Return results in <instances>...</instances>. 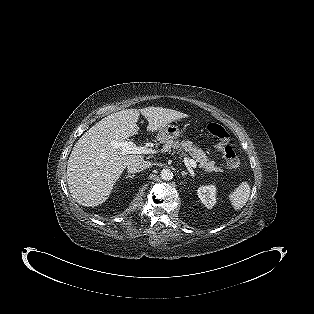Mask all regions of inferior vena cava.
I'll list each match as a JSON object with an SVG mask.
<instances>
[{
	"label": "inferior vena cava",
	"instance_id": "inferior-vena-cava-1",
	"mask_svg": "<svg viewBox=\"0 0 314 314\" xmlns=\"http://www.w3.org/2000/svg\"><path fill=\"white\" fill-rule=\"evenodd\" d=\"M150 166V163L145 160H139L128 164L127 171L129 173H137L147 169Z\"/></svg>",
	"mask_w": 314,
	"mask_h": 314
}]
</instances>
